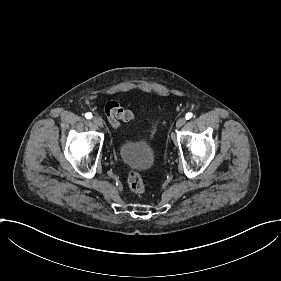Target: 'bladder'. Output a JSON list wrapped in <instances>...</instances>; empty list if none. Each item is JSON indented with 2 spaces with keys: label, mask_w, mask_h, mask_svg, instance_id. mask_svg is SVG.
Here are the masks:
<instances>
[{
  "label": "bladder",
  "mask_w": 281,
  "mask_h": 281,
  "mask_svg": "<svg viewBox=\"0 0 281 281\" xmlns=\"http://www.w3.org/2000/svg\"><path fill=\"white\" fill-rule=\"evenodd\" d=\"M120 157L125 164L135 168H147L152 163L151 149L142 143H124L120 147Z\"/></svg>",
  "instance_id": "1"
}]
</instances>
